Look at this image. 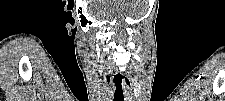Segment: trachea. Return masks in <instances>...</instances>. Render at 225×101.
Listing matches in <instances>:
<instances>
[{
  "instance_id": "3493384b",
  "label": "trachea",
  "mask_w": 225,
  "mask_h": 101,
  "mask_svg": "<svg viewBox=\"0 0 225 101\" xmlns=\"http://www.w3.org/2000/svg\"><path fill=\"white\" fill-rule=\"evenodd\" d=\"M114 101H124V95H123V90L121 85L116 86Z\"/></svg>"
}]
</instances>
